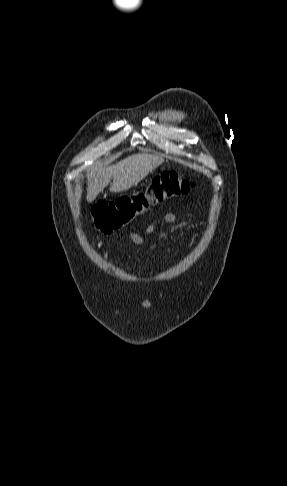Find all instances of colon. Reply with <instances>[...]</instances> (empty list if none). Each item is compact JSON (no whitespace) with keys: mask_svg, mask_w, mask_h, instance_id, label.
<instances>
[{"mask_svg":"<svg viewBox=\"0 0 287 486\" xmlns=\"http://www.w3.org/2000/svg\"><path fill=\"white\" fill-rule=\"evenodd\" d=\"M195 183L177 171H165L153 178L148 186L115 200L97 202L92 208L94 227L103 233L119 230L149 207L187 194Z\"/></svg>","mask_w":287,"mask_h":486,"instance_id":"colon-1","label":"colon"}]
</instances>
